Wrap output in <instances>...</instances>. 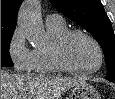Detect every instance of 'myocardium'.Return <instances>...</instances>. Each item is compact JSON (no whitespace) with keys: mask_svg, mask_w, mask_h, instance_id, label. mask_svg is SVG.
Segmentation results:
<instances>
[{"mask_svg":"<svg viewBox=\"0 0 115 99\" xmlns=\"http://www.w3.org/2000/svg\"><path fill=\"white\" fill-rule=\"evenodd\" d=\"M74 35H82L86 37L96 48L97 54H98V63L95 67L91 69H78L70 65L64 55V48L67 43V41ZM52 58L55 64L62 70L66 71L72 74L77 75H91L93 73H96L100 70V68L103 65L104 62V54L102 47L100 43L97 41V39L92 36L90 33H88L85 30L82 29H68L65 31L54 43L52 48Z\"/></svg>","mask_w":115,"mask_h":99,"instance_id":"myocardium-1","label":"myocardium"}]
</instances>
